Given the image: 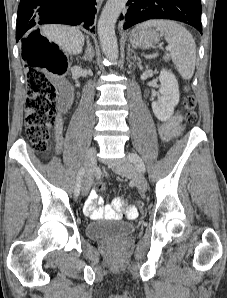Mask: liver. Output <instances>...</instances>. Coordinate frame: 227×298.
<instances>
[{
  "label": "liver",
  "instance_id": "obj_1",
  "mask_svg": "<svg viewBox=\"0 0 227 298\" xmlns=\"http://www.w3.org/2000/svg\"><path fill=\"white\" fill-rule=\"evenodd\" d=\"M42 32L49 41L58 44L64 52L70 55L81 53L84 35L78 29L62 25H46L42 28Z\"/></svg>",
  "mask_w": 227,
  "mask_h": 298
}]
</instances>
